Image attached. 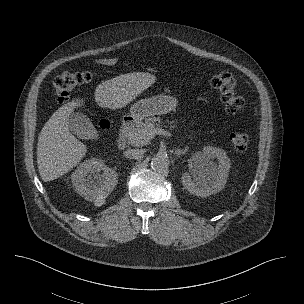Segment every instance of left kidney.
<instances>
[{"label": "left kidney", "mask_w": 304, "mask_h": 304, "mask_svg": "<svg viewBox=\"0 0 304 304\" xmlns=\"http://www.w3.org/2000/svg\"><path fill=\"white\" fill-rule=\"evenodd\" d=\"M214 158L218 160V164L211 161ZM193 161L192 174L184 173L181 177L185 189L196 196L207 197L224 188L231 168L230 159L224 150L206 146L202 152L193 156Z\"/></svg>", "instance_id": "5707ae66"}]
</instances>
